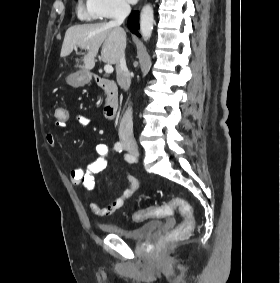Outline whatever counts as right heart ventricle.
Returning a JSON list of instances; mask_svg holds the SVG:
<instances>
[{
    "label": "right heart ventricle",
    "mask_w": 280,
    "mask_h": 283,
    "mask_svg": "<svg viewBox=\"0 0 280 283\" xmlns=\"http://www.w3.org/2000/svg\"><path fill=\"white\" fill-rule=\"evenodd\" d=\"M77 13H78V16L80 18H86V17H89L90 15L88 14L87 10L82 6V5H78L77 7ZM91 17V16H90Z\"/></svg>",
    "instance_id": "e07e8e85"
}]
</instances>
